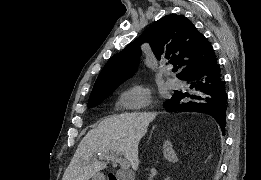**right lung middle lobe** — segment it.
<instances>
[{
    "instance_id": "obj_1",
    "label": "right lung middle lobe",
    "mask_w": 261,
    "mask_h": 180,
    "mask_svg": "<svg viewBox=\"0 0 261 180\" xmlns=\"http://www.w3.org/2000/svg\"><path fill=\"white\" fill-rule=\"evenodd\" d=\"M108 95L109 94L103 95V96L94 97V98H90L89 101H88V107H94V106L99 105L101 102L104 101L105 98H107Z\"/></svg>"
}]
</instances>
